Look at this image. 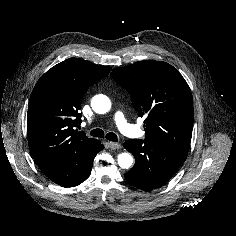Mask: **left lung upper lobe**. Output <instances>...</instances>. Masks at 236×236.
Wrapping results in <instances>:
<instances>
[{
  "instance_id": "5c2ea615",
  "label": "left lung upper lobe",
  "mask_w": 236,
  "mask_h": 236,
  "mask_svg": "<svg viewBox=\"0 0 236 236\" xmlns=\"http://www.w3.org/2000/svg\"><path fill=\"white\" fill-rule=\"evenodd\" d=\"M111 77L128 91L138 116L145 117V140L189 151L193 98L187 82L173 66L140 61L115 68Z\"/></svg>"
}]
</instances>
